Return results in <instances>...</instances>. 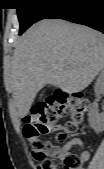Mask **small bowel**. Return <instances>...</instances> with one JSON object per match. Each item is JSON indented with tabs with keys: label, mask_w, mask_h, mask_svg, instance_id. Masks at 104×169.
I'll list each match as a JSON object with an SVG mask.
<instances>
[{
	"label": "small bowel",
	"mask_w": 104,
	"mask_h": 169,
	"mask_svg": "<svg viewBox=\"0 0 104 169\" xmlns=\"http://www.w3.org/2000/svg\"><path fill=\"white\" fill-rule=\"evenodd\" d=\"M54 128L56 130H63L62 125H55ZM75 145L82 146L83 145L82 140L78 137H74V138L69 139L63 146L59 147V156L58 157L61 160H63L64 157L69 154V151L71 150V148ZM79 157L81 160V165L79 166L78 169H84L83 164L86 163L90 159V153L86 150H83L80 153Z\"/></svg>",
	"instance_id": "obj_1"
}]
</instances>
